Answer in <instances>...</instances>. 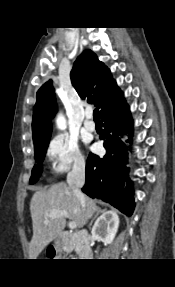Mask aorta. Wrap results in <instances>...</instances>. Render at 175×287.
<instances>
[{
  "label": "aorta",
  "instance_id": "762f6f07",
  "mask_svg": "<svg viewBox=\"0 0 175 287\" xmlns=\"http://www.w3.org/2000/svg\"><path fill=\"white\" fill-rule=\"evenodd\" d=\"M56 124L59 129L64 130L66 128L65 117L59 114L56 119Z\"/></svg>",
  "mask_w": 175,
  "mask_h": 287
}]
</instances>
